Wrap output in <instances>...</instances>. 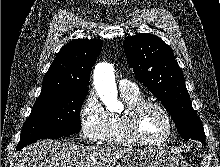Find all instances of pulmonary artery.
I'll use <instances>...</instances> for the list:
<instances>
[{
    "mask_svg": "<svg viewBox=\"0 0 220 167\" xmlns=\"http://www.w3.org/2000/svg\"><path fill=\"white\" fill-rule=\"evenodd\" d=\"M119 89L121 92H137L138 88L129 80L122 79L119 81Z\"/></svg>",
    "mask_w": 220,
    "mask_h": 167,
    "instance_id": "e3ab8cb5",
    "label": "pulmonary artery"
}]
</instances>
